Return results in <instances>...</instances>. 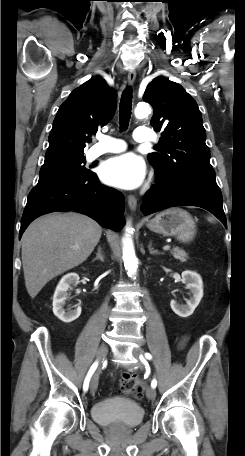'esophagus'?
<instances>
[{"label":"esophagus","instance_id":"obj_1","mask_svg":"<svg viewBox=\"0 0 245 456\" xmlns=\"http://www.w3.org/2000/svg\"><path fill=\"white\" fill-rule=\"evenodd\" d=\"M136 79V72L135 70H130L127 75V81L129 85H132L135 82ZM128 205L131 209V211H135L137 207V199L133 195H129L127 197Z\"/></svg>","mask_w":245,"mask_h":456}]
</instances>
